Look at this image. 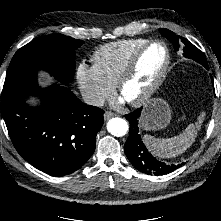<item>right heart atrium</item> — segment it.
<instances>
[{
  "instance_id": "right-heart-atrium-1",
  "label": "right heart atrium",
  "mask_w": 221,
  "mask_h": 221,
  "mask_svg": "<svg viewBox=\"0 0 221 221\" xmlns=\"http://www.w3.org/2000/svg\"><path fill=\"white\" fill-rule=\"evenodd\" d=\"M76 81L83 99L92 106L102 104L114 91V85L106 81L94 65L84 62L77 67Z\"/></svg>"
}]
</instances>
